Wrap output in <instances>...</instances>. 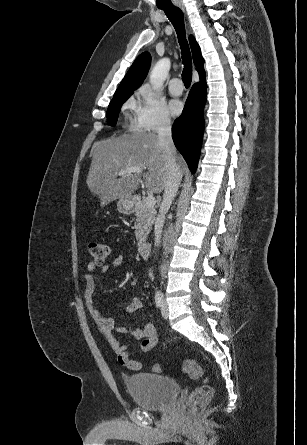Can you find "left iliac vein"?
I'll return each instance as SVG.
<instances>
[{
	"label": "left iliac vein",
	"instance_id": "left-iliac-vein-1",
	"mask_svg": "<svg viewBox=\"0 0 307 445\" xmlns=\"http://www.w3.org/2000/svg\"><path fill=\"white\" fill-rule=\"evenodd\" d=\"M161 314H162L163 318L168 317V306H167V302L165 301L164 298H163V303H162V308H161Z\"/></svg>",
	"mask_w": 307,
	"mask_h": 445
}]
</instances>
